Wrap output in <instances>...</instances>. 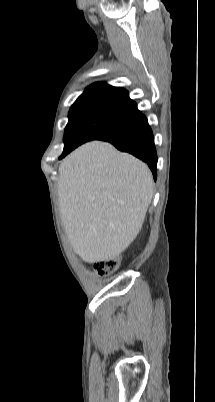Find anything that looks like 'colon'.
<instances>
[{
	"label": "colon",
	"instance_id": "obj_1",
	"mask_svg": "<svg viewBox=\"0 0 215 402\" xmlns=\"http://www.w3.org/2000/svg\"><path fill=\"white\" fill-rule=\"evenodd\" d=\"M119 267L118 258H108L97 261L94 268L98 275L104 276L113 273Z\"/></svg>",
	"mask_w": 215,
	"mask_h": 402
}]
</instances>
